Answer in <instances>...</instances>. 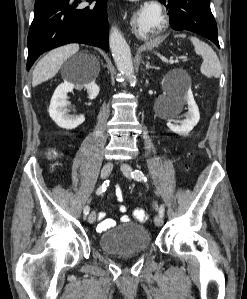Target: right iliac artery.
<instances>
[{
  "instance_id": "82829eb1",
  "label": "right iliac artery",
  "mask_w": 247,
  "mask_h": 299,
  "mask_svg": "<svg viewBox=\"0 0 247 299\" xmlns=\"http://www.w3.org/2000/svg\"><path fill=\"white\" fill-rule=\"evenodd\" d=\"M107 186H108V181H105V182H104V183L97 189L96 194H97V195H100V194H102L103 192H105ZM89 211H90L89 206H86V207L84 208V211H83V212H84L85 215H88V214H89Z\"/></svg>"
}]
</instances>
